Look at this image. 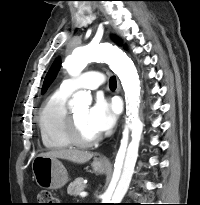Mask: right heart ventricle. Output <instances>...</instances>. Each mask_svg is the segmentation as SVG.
I'll return each instance as SVG.
<instances>
[{
	"mask_svg": "<svg viewBox=\"0 0 200 205\" xmlns=\"http://www.w3.org/2000/svg\"><path fill=\"white\" fill-rule=\"evenodd\" d=\"M69 93L58 89L43 103L39 115L38 126L42 144L49 150L69 148L72 144L66 135V102Z\"/></svg>",
	"mask_w": 200,
	"mask_h": 205,
	"instance_id": "obj_1",
	"label": "right heart ventricle"
}]
</instances>
